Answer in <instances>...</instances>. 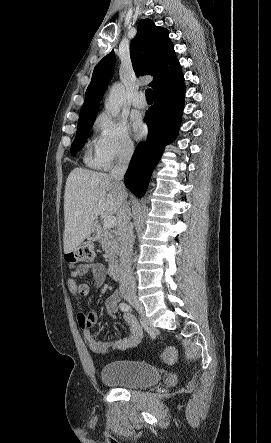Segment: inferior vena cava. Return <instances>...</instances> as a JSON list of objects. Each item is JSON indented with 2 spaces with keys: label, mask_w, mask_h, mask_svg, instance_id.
Wrapping results in <instances>:
<instances>
[{
  "label": "inferior vena cava",
  "mask_w": 271,
  "mask_h": 443,
  "mask_svg": "<svg viewBox=\"0 0 271 443\" xmlns=\"http://www.w3.org/2000/svg\"><path fill=\"white\" fill-rule=\"evenodd\" d=\"M134 152V144L131 140L123 142L117 164L111 170L109 176L118 182V188L122 194L121 220L118 223V235L120 241V265H119V281L121 296H136L135 277L131 271L130 257L133 251V229L130 225V210L127 206L126 198L128 196L126 188L122 182L125 172Z\"/></svg>",
  "instance_id": "inferior-vena-cava-1"
}]
</instances>
